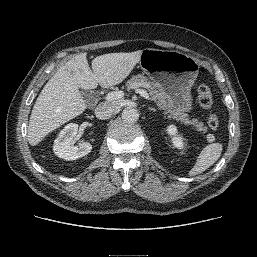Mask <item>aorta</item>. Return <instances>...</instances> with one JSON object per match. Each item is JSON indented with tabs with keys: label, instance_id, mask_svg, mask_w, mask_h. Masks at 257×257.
<instances>
[{
	"label": "aorta",
	"instance_id": "aorta-1",
	"mask_svg": "<svg viewBox=\"0 0 257 257\" xmlns=\"http://www.w3.org/2000/svg\"><path fill=\"white\" fill-rule=\"evenodd\" d=\"M122 119L126 123H135L139 119V112L135 108L127 107L122 111Z\"/></svg>",
	"mask_w": 257,
	"mask_h": 257
}]
</instances>
